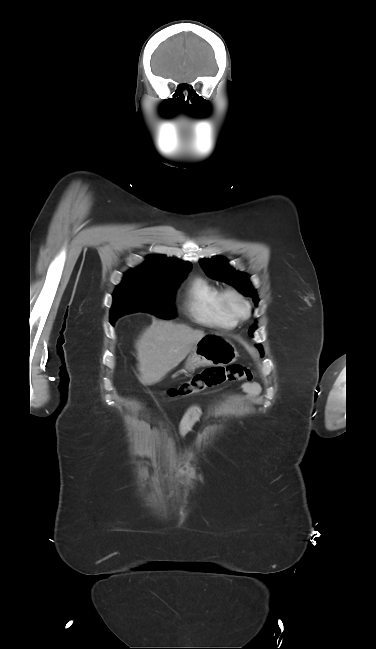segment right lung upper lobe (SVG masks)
<instances>
[{
	"label": "right lung upper lobe",
	"mask_w": 376,
	"mask_h": 649,
	"mask_svg": "<svg viewBox=\"0 0 376 649\" xmlns=\"http://www.w3.org/2000/svg\"><path fill=\"white\" fill-rule=\"evenodd\" d=\"M146 262L135 270L150 276H164L170 274L182 273L190 271L191 263L178 260L175 258H167L163 255H151L146 258Z\"/></svg>",
	"instance_id": "right-lung-upper-lobe-1"
}]
</instances>
